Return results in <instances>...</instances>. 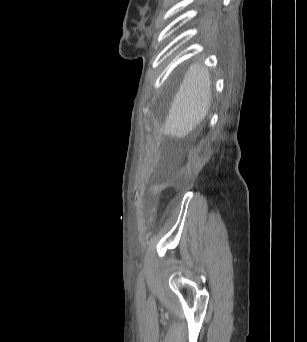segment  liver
Instances as JSON below:
<instances>
[{
  "label": "liver",
  "instance_id": "6515ba94",
  "mask_svg": "<svg viewBox=\"0 0 307 342\" xmlns=\"http://www.w3.org/2000/svg\"><path fill=\"white\" fill-rule=\"evenodd\" d=\"M211 74L200 64L188 68L169 108L162 132L185 138L204 120L211 106Z\"/></svg>",
  "mask_w": 307,
  "mask_h": 342
}]
</instances>
